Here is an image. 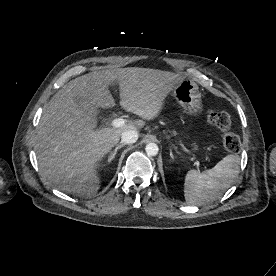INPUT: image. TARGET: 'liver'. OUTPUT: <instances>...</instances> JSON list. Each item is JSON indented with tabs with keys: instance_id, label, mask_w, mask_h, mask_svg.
I'll return each instance as SVG.
<instances>
[{
	"instance_id": "6515ba94",
	"label": "liver",
	"mask_w": 276,
	"mask_h": 276,
	"mask_svg": "<svg viewBox=\"0 0 276 276\" xmlns=\"http://www.w3.org/2000/svg\"><path fill=\"white\" fill-rule=\"evenodd\" d=\"M184 79L168 71L128 67L92 72L65 84L44 108L37 127L35 151L43 177L57 189L92 197L100 188L97 164L119 142L122 133L138 130L143 120L120 128L95 130L97 120L75 101L112 108L109 86L120 88V105L144 120L159 115L165 98Z\"/></svg>"
}]
</instances>
